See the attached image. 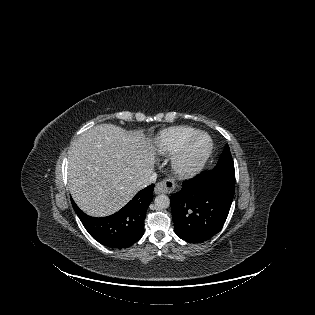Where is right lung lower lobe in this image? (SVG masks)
<instances>
[{"label": "right lung lower lobe", "mask_w": 315, "mask_h": 315, "mask_svg": "<svg viewBox=\"0 0 315 315\" xmlns=\"http://www.w3.org/2000/svg\"><path fill=\"white\" fill-rule=\"evenodd\" d=\"M153 189L154 184L146 187L121 210L102 218L86 215L71 201L85 229L96 241L110 248H126L144 234V219L153 199Z\"/></svg>", "instance_id": "1"}]
</instances>
